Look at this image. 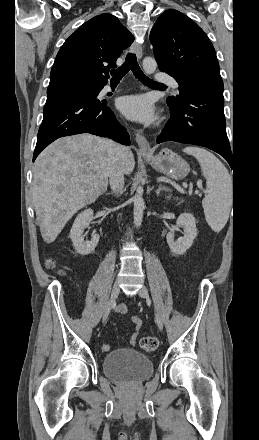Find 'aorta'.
Segmentation results:
<instances>
[{"label": "aorta", "mask_w": 259, "mask_h": 440, "mask_svg": "<svg viewBox=\"0 0 259 440\" xmlns=\"http://www.w3.org/2000/svg\"><path fill=\"white\" fill-rule=\"evenodd\" d=\"M157 63L154 58L146 57L143 60V69L146 74H152L155 72ZM143 187L139 186L137 188V193L134 196V224L138 228L141 226L143 219V211L145 208V203L142 197Z\"/></svg>", "instance_id": "1"}]
</instances>
